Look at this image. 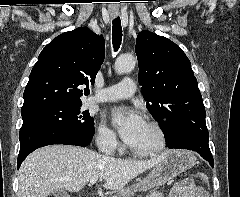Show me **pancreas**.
<instances>
[{"instance_id": "obj_1", "label": "pancreas", "mask_w": 240, "mask_h": 197, "mask_svg": "<svg viewBox=\"0 0 240 197\" xmlns=\"http://www.w3.org/2000/svg\"><path fill=\"white\" fill-rule=\"evenodd\" d=\"M146 197H164L163 194L157 190H153L150 194Z\"/></svg>"}]
</instances>
